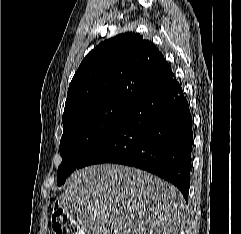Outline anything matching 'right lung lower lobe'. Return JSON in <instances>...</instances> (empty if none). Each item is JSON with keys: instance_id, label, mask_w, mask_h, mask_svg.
<instances>
[{"instance_id": "98d812e1", "label": "right lung lower lobe", "mask_w": 241, "mask_h": 234, "mask_svg": "<svg viewBox=\"0 0 241 234\" xmlns=\"http://www.w3.org/2000/svg\"><path fill=\"white\" fill-rule=\"evenodd\" d=\"M192 144L189 105L172 73L134 103L79 168L100 163L137 167L174 184L187 201Z\"/></svg>"}]
</instances>
